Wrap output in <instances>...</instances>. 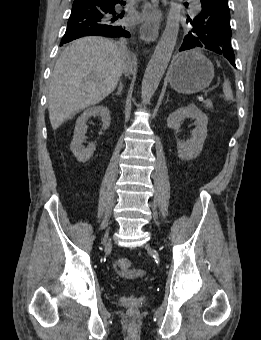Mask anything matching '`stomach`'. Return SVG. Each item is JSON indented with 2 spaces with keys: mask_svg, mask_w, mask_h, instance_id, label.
<instances>
[{
  "mask_svg": "<svg viewBox=\"0 0 261 340\" xmlns=\"http://www.w3.org/2000/svg\"><path fill=\"white\" fill-rule=\"evenodd\" d=\"M213 78V64L207 57L195 51L176 57L169 71L171 87L182 94H193L204 90Z\"/></svg>",
  "mask_w": 261,
  "mask_h": 340,
  "instance_id": "1",
  "label": "stomach"
}]
</instances>
